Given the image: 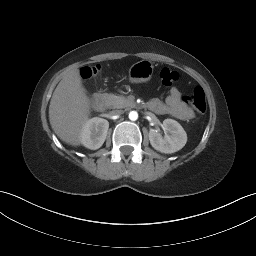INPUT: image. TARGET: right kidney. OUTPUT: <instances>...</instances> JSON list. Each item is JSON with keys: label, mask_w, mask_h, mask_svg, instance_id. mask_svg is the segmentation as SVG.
<instances>
[{"label": "right kidney", "mask_w": 256, "mask_h": 256, "mask_svg": "<svg viewBox=\"0 0 256 256\" xmlns=\"http://www.w3.org/2000/svg\"><path fill=\"white\" fill-rule=\"evenodd\" d=\"M109 122L106 119L94 117L87 119L81 132V143L89 149H99L107 136Z\"/></svg>", "instance_id": "obj_1"}]
</instances>
